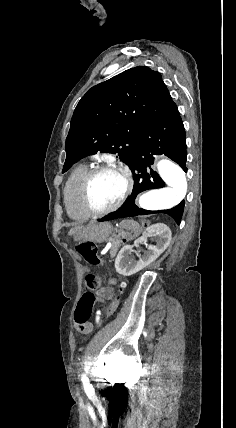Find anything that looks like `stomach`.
<instances>
[{
    "label": "stomach",
    "instance_id": "0dacf381",
    "mask_svg": "<svg viewBox=\"0 0 236 428\" xmlns=\"http://www.w3.org/2000/svg\"><path fill=\"white\" fill-rule=\"evenodd\" d=\"M112 228L108 222H101V224H97V222H92V224H88L83 228L81 234H77L75 240H89V242H97V244H102L105 242L107 238H109V234H111Z\"/></svg>",
    "mask_w": 236,
    "mask_h": 428
}]
</instances>
